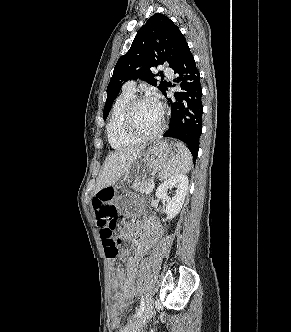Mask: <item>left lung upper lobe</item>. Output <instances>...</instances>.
I'll return each mask as SVG.
<instances>
[{"label":"left lung upper lobe","mask_w":291,"mask_h":332,"mask_svg":"<svg viewBox=\"0 0 291 332\" xmlns=\"http://www.w3.org/2000/svg\"><path fill=\"white\" fill-rule=\"evenodd\" d=\"M187 45L183 34L171 19L161 13L151 16L138 31L129 51L119 58L114 68L107 87L104 120L125 81L137 78L147 80L164 94L168 86L167 82L157 84L150 68L168 62L169 67L173 69L180 61ZM197 148H199V142L191 147L192 150Z\"/></svg>","instance_id":"left-lung-upper-lobe-1"}]
</instances>
